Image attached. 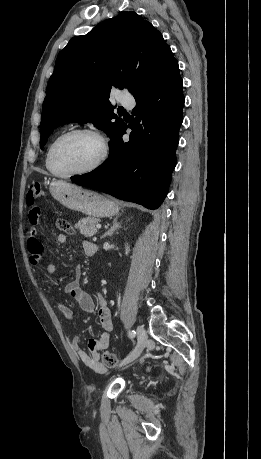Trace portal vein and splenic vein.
<instances>
[{"label": "portal vein and splenic vein", "instance_id": "obj_1", "mask_svg": "<svg viewBox=\"0 0 261 459\" xmlns=\"http://www.w3.org/2000/svg\"><path fill=\"white\" fill-rule=\"evenodd\" d=\"M96 228H97V229H101V225H100V224H97V225H96Z\"/></svg>", "mask_w": 261, "mask_h": 459}]
</instances>
